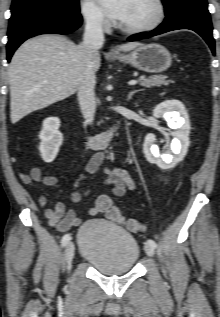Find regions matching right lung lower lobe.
I'll use <instances>...</instances> for the list:
<instances>
[{
  "instance_id": "98d812e1",
  "label": "right lung lower lobe",
  "mask_w": 220,
  "mask_h": 317,
  "mask_svg": "<svg viewBox=\"0 0 220 317\" xmlns=\"http://www.w3.org/2000/svg\"><path fill=\"white\" fill-rule=\"evenodd\" d=\"M82 24L79 14L72 15L52 10L28 11L10 18L7 43V60L26 39L39 34H68Z\"/></svg>"
}]
</instances>
